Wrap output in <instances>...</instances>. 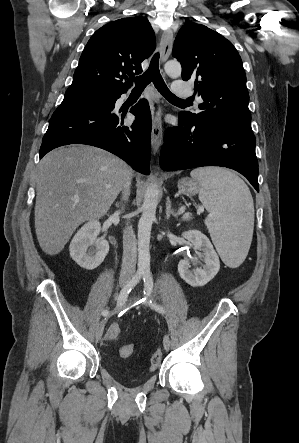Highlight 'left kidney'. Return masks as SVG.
Wrapping results in <instances>:
<instances>
[{
	"instance_id": "5707ae66",
	"label": "left kidney",
	"mask_w": 299,
	"mask_h": 443,
	"mask_svg": "<svg viewBox=\"0 0 299 443\" xmlns=\"http://www.w3.org/2000/svg\"><path fill=\"white\" fill-rule=\"evenodd\" d=\"M182 236L190 241L194 248L203 252L205 265L202 268L190 270V263L187 259L180 260L178 272L180 277L193 287L204 286L212 280L220 269V261L210 240L205 234L198 230L183 232Z\"/></svg>"
}]
</instances>
